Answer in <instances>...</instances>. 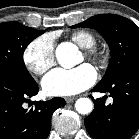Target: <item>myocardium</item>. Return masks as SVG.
<instances>
[{
    "mask_svg": "<svg viewBox=\"0 0 139 139\" xmlns=\"http://www.w3.org/2000/svg\"><path fill=\"white\" fill-rule=\"evenodd\" d=\"M84 56L96 65H101L103 62L102 54L94 47L85 49Z\"/></svg>",
    "mask_w": 139,
    "mask_h": 139,
    "instance_id": "obj_1",
    "label": "myocardium"
}]
</instances>
